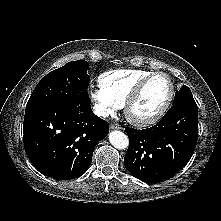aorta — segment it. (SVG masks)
<instances>
[{
    "instance_id": "1",
    "label": "aorta",
    "mask_w": 221,
    "mask_h": 221,
    "mask_svg": "<svg viewBox=\"0 0 221 221\" xmlns=\"http://www.w3.org/2000/svg\"><path fill=\"white\" fill-rule=\"evenodd\" d=\"M109 141L117 149H125L129 145L127 135L118 130L109 133Z\"/></svg>"
}]
</instances>
